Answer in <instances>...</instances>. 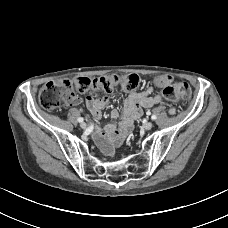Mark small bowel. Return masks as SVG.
<instances>
[{"label":"small bowel","mask_w":228,"mask_h":228,"mask_svg":"<svg viewBox=\"0 0 228 228\" xmlns=\"http://www.w3.org/2000/svg\"><path fill=\"white\" fill-rule=\"evenodd\" d=\"M152 93V87L130 93L124 102L121 113L116 109L110 112L112 119H120L118 123H109L103 128L94 127V139L107 153H112L113 149L122 143L131 131L134 120L142 116L144 108H150L164 102L161 95H153ZM107 102V95L88 96L86 98V105L95 119L102 117V110ZM169 113L174 114L175 108L170 107Z\"/></svg>","instance_id":"obj_1"}]
</instances>
